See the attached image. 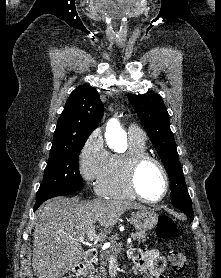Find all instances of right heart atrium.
Returning <instances> with one entry per match:
<instances>
[{
	"label": "right heart atrium",
	"mask_w": 221,
	"mask_h": 278,
	"mask_svg": "<svg viewBox=\"0 0 221 278\" xmlns=\"http://www.w3.org/2000/svg\"><path fill=\"white\" fill-rule=\"evenodd\" d=\"M110 161L100 130L93 131L82 145L78 156V170L88 183H98L106 172Z\"/></svg>",
	"instance_id": "d8ad5b80"
}]
</instances>
